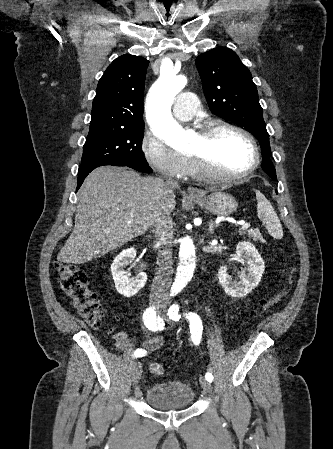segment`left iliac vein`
Masks as SVG:
<instances>
[{
  "instance_id": "left-iliac-vein-1",
  "label": "left iliac vein",
  "mask_w": 333,
  "mask_h": 449,
  "mask_svg": "<svg viewBox=\"0 0 333 449\" xmlns=\"http://www.w3.org/2000/svg\"><path fill=\"white\" fill-rule=\"evenodd\" d=\"M162 313H163L164 316H166L164 309L162 310ZM199 382H200V385H201V387L203 388L204 391H206V392H211L212 391V385H211V383L208 380H206L205 377L201 376L199 378Z\"/></svg>"
}]
</instances>
